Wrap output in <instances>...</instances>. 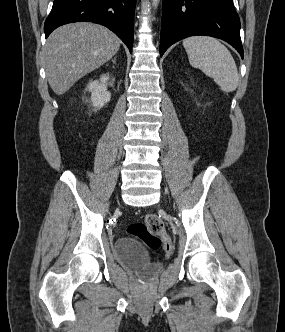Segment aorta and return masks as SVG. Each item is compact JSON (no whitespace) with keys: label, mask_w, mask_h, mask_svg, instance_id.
I'll list each match as a JSON object with an SVG mask.
<instances>
[{"label":"aorta","mask_w":285,"mask_h":332,"mask_svg":"<svg viewBox=\"0 0 285 332\" xmlns=\"http://www.w3.org/2000/svg\"><path fill=\"white\" fill-rule=\"evenodd\" d=\"M159 0H152V5L154 8H157Z\"/></svg>","instance_id":"1"}]
</instances>
